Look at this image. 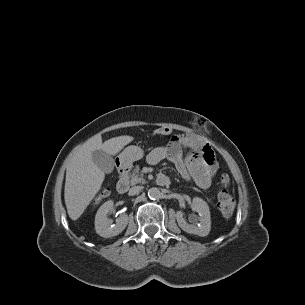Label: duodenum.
<instances>
[{
  "instance_id": "1",
  "label": "duodenum",
  "mask_w": 305,
  "mask_h": 305,
  "mask_svg": "<svg viewBox=\"0 0 305 305\" xmlns=\"http://www.w3.org/2000/svg\"><path fill=\"white\" fill-rule=\"evenodd\" d=\"M119 180L117 182V191L119 193H126L129 189L128 167L124 164L118 165ZM157 184L160 186H167L170 184V180L166 175H159L157 178Z\"/></svg>"
}]
</instances>
